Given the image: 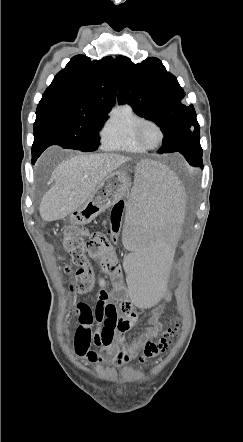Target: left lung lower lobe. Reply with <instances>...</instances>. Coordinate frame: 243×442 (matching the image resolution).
Here are the masks:
<instances>
[{
	"label": "left lung lower lobe",
	"mask_w": 243,
	"mask_h": 442,
	"mask_svg": "<svg viewBox=\"0 0 243 442\" xmlns=\"http://www.w3.org/2000/svg\"><path fill=\"white\" fill-rule=\"evenodd\" d=\"M186 160L192 165L194 163H202V148L201 146H197L192 150L183 154Z\"/></svg>",
	"instance_id": "obj_1"
}]
</instances>
